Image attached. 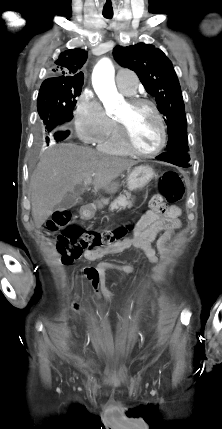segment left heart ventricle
<instances>
[{
  "instance_id": "left-heart-ventricle-1",
  "label": "left heart ventricle",
  "mask_w": 222,
  "mask_h": 429,
  "mask_svg": "<svg viewBox=\"0 0 222 429\" xmlns=\"http://www.w3.org/2000/svg\"><path fill=\"white\" fill-rule=\"evenodd\" d=\"M116 118L127 123L131 139L139 150L151 152L159 146L160 128L148 107L131 108L125 103Z\"/></svg>"
}]
</instances>
